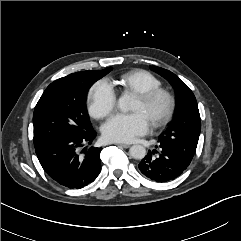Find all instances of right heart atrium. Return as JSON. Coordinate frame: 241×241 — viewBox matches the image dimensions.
I'll return each mask as SVG.
<instances>
[{
	"label": "right heart atrium",
	"instance_id": "d8ad5b80",
	"mask_svg": "<svg viewBox=\"0 0 241 241\" xmlns=\"http://www.w3.org/2000/svg\"><path fill=\"white\" fill-rule=\"evenodd\" d=\"M89 112L97 119L110 115L116 107L117 96L111 84L105 80H98L88 92Z\"/></svg>",
	"mask_w": 241,
	"mask_h": 241
}]
</instances>
